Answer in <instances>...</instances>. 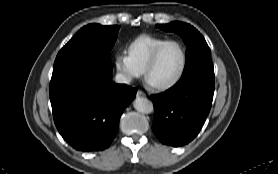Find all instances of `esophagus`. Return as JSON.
<instances>
[{
	"label": "esophagus",
	"mask_w": 278,
	"mask_h": 174,
	"mask_svg": "<svg viewBox=\"0 0 278 174\" xmlns=\"http://www.w3.org/2000/svg\"><path fill=\"white\" fill-rule=\"evenodd\" d=\"M137 95H138V96H144L145 93H144L143 91H141V90H138V91H137Z\"/></svg>",
	"instance_id": "34e87169"
}]
</instances>
